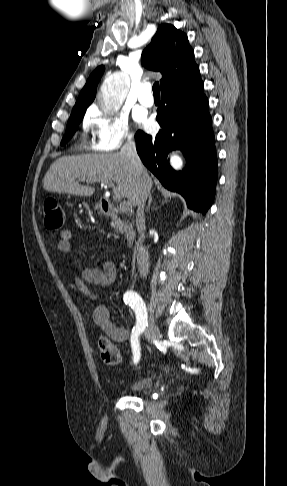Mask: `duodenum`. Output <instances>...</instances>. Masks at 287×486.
Returning <instances> with one entry per match:
<instances>
[{"label":"duodenum","instance_id":"1","mask_svg":"<svg viewBox=\"0 0 287 486\" xmlns=\"http://www.w3.org/2000/svg\"><path fill=\"white\" fill-rule=\"evenodd\" d=\"M100 208L104 214L109 217L115 218L118 216V211L114 204L109 200L102 199L100 201ZM125 240L128 246L132 245L136 238V232L133 228H126L124 230Z\"/></svg>","mask_w":287,"mask_h":486}]
</instances>
